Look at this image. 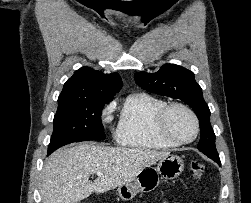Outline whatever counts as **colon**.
<instances>
[{"label":"colon","instance_id":"colon-1","mask_svg":"<svg viewBox=\"0 0 251 203\" xmlns=\"http://www.w3.org/2000/svg\"><path fill=\"white\" fill-rule=\"evenodd\" d=\"M190 167L195 178H200L205 172V164L202 161H192Z\"/></svg>","mask_w":251,"mask_h":203}]
</instances>
